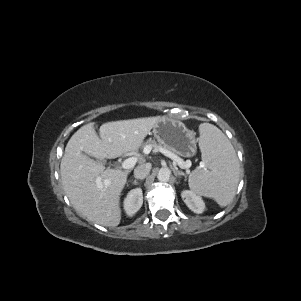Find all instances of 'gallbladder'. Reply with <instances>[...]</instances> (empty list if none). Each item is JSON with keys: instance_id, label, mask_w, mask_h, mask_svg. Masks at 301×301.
Listing matches in <instances>:
<instances>
[{"instance_id": "1", "label": "gallbladder", "mask_w": 301, "mask_h": 301, "mask_svg": "<svg viewBox=\"0 0 301 301\" xmlns=\"http://www.w3.org/2000/svg\"><path fill=\"white\" fill-rule=\"evenodd\" d=\"M98 162L105 163V161H104V160H98Z\"/></svg>"}]
</instances>
